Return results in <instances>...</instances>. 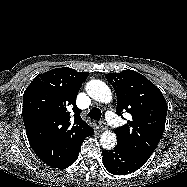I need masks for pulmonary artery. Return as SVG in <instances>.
<instances>
[{"mask_svg":"<svg viewBox=\"0 0 187 187\" xmlns=\"http://www.w3.org/2000/svg\"><path fill=\"white\" fill-rule=\"evenodd\" d=\"M109 115L111 116L112 114H111V113H109ZM116 123H119V121L117 120V121H116Z\"/></svg>","mask_w":187,"mask_h":187,"instance_id":"pulmonary-artery-1","label":"pulmonary artery"}]
</instances>
